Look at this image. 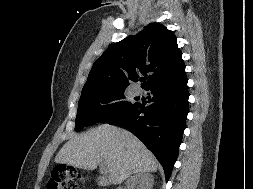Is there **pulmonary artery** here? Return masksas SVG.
<instances>
[{
    "mask_svg": "<svg viewBox=\"0 0 253 189\" xmlns=\"http://www.w3.org/2000/svg\"><path fill=\"white\" fill-rule=\"evenodd\" d=\"M141 93H142V90H141L140 87H136V88L134 89V94H135V95H140Z\"/></svg>",
    "mask_w": 253,
    "mask_h": 189,
    "instance_id": "pulmonary-artery-1",
    "label": "pulmonary artery"
}]
</instances>
